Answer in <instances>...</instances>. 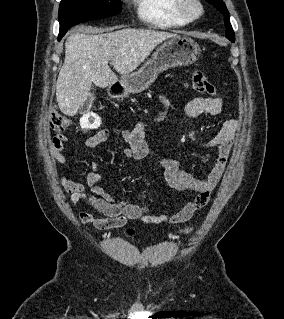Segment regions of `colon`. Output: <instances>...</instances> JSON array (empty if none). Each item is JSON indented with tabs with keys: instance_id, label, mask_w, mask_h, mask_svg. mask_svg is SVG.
Masks as SVG:
<instances>
[{
	"instance_id": "1",
	"label": "colon",
	"mask_w": 284,
	"mask_h": 319,
	"mask_svg": "<svg viewBox=\"0 0 284 319\" xmlns=\"http://www.w3.org/2000/svg\"><path fill=\"white\" fill-rule=\"evenodd\" d=\"M191 87L198 93L213 96L216 93V89L214 85L207 79L206 75L203 71L196 69L192 73V77L190 79ZM71 125V121L66 116L61 115L58 112H53L50 117V126L56 132H63L67 130ZM192 231L191 228H187L183 230V233H190ZM132 230H128V234H132Z\"/></svg>"
}]
</instances>
